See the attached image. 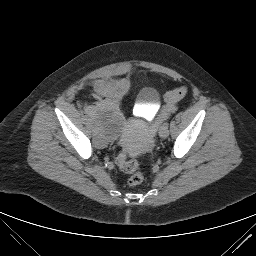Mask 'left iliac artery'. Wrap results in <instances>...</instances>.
<instances>
[{
  "label": "left iliac artery",
  "mask_w": 256,
  "mask_h": 256,
  "mask_svg": "<svg viewBox=\"0 0 256 256\" xmlns=\"http://www.w3.org/2000/svg\"><path fill=\"white\" fill-rule=\"evenodd\" d=\"M164 125H168V123H167V122H165V123H164Z\"/></svg>",
  "instance_id": "1"
}]
</instances>
